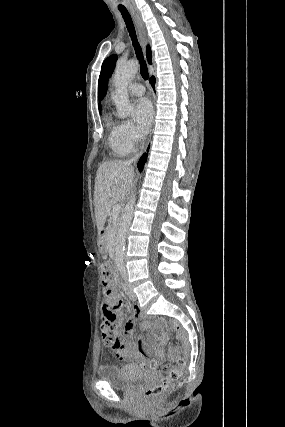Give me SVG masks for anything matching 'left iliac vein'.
Returning <instances> with one entry per match:
<instances>
[{
  "mask_svg": "<svg viewBox=\"0 0 285 427\" xmlns=\"http://www.w3.org/2000/svg\"><path fill=\"white\" fill-rule=\"evenodd\" d=\"M124 290L131 300L135 301L137 299L136 294L133 292L132 288L127 282L124 284Z\"/></svg>",
  "mask_w": 285,
  "mask_h": 427,
  "instance_id": "4c4485c4",
  "label": "left iliac vein"
}]
</instances>
